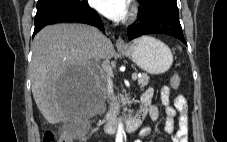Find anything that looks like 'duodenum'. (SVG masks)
I'll return each mask as SVG.
<instances>
[{"mask_svg": "<svg viewBox=\"0 0 227 142\" xmlns=\"http://www.w3.org/2000/svg\"><path fill=\"white\" fill-rule=\"evenodd\" d=\"M146 115H147L146 108L140 105L139 110L134 115L126 118L123 121V125L126 131L130 133L136 131L140 127ZM118 124L119 122L115 118V116L113 114H109L106 119L105 131L108 133H114L117 129Z\"/></svg>", "mask_w": 227, "mask_h": 142, "instance_id": "1", "label": "duodenum"}]
</instances>
